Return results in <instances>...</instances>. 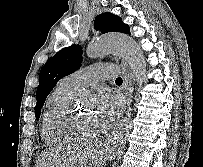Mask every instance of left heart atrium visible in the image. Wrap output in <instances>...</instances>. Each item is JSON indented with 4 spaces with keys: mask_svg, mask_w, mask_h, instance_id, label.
I'll list each match as a JSON object with an SVG mask.
<instances>
[{
    "mask_svg": "<svg viewBox=\"0 0 203 167\" xmlns=\"http://www.w3.org/2000/svg\"><path fill=\"white\" fill-rule=\"evenodd\" d=\"M121 101L118 96L109 92L102 93L98 98V110L95 114L99 129L109 125L118 114Z\"/></svg>",
    "mask_w": 203,
    "mask_h": 167,
    "instance_id": "1",
    "label": "left heart atrium"
}]
</instances>
